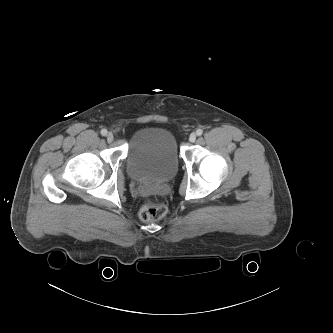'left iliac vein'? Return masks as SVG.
<instances>
[{
	"mask_svg": "<svg viewBox=\"0 0 333 333\" xmlns=\"http://www.w3.org/2000/svg\"><path fill=\"white\" fill-rule=\"evenodd\" d=\"M196 140V134L195 133H191L190 136H189V141L190 142H195Z\"/></svg>",
	"mask_w": 333,
	"mask_h": 333,
	"instance_id": "4c4485c4",
	"label": "left iliac vein"
}]
</instances>
